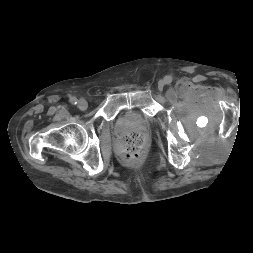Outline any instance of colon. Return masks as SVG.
<instances>
[{
    "label": "colon",
    "mask_w": 253,
    "mask_h": 253,
    "mask_svg": "<svg viewBox=\"0 0 253 253\" xmlns=\"http://www.w3.org/2000/svg\"><path fill=\"white\" fill-rule=\"evenodd\" d=\"M145 148V138L140 132H130L122 136L117 144L120 155L128 161H138Z\"/></svg>",
    "instance_id": "obj_1"
}]
</instances>
